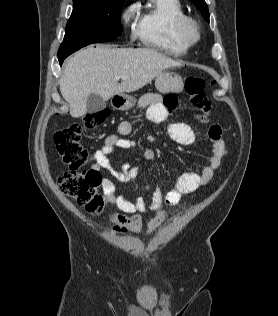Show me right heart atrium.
I'll list each match as a JSON object with an SVG mask.
<instances>
[{"label": "right heart atrium", "mask_w": 278, "mask_h": 316, "mask_svg": "<svg viewBox=\"0 0 278 316\" xmlns=\"http://www.w3.org/2000/svg\"><path fill=\"white\" fill-rule=\"evenodd\" d=\"M138 19V11L136 8V4L133 2L125 3L120 11V20L121 23L130 29L131 35H135V23Z\"/></svg>", "instance_id": "1"}]
</instances>
